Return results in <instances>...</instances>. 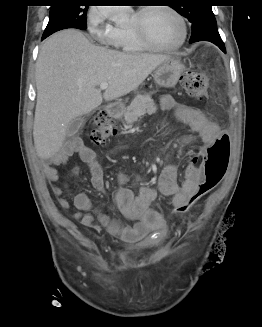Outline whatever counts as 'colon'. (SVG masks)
<instances>
[{
  "label": "colon",
  "mask_w": 262,
  "mask_h": 327,
  "mask_svg": "<svg viewBox=\"0 0 262 327\" xmlns=\"http://www.w3.org/2000/svg\"><path fill=\"white\" fill-rule=\"evenodd\" d=\"M181 84L186 93L197 100L207 98L208 78L197 71H188L183 74ZM116 130L111 115L106 110L98 111L94 116V127L90 132V139L95 144H104L115 135ZM230 159V140L225 133L220 134L205 150L200 159L203 171L202 181L197 189L176 209L179 213L189 211L193 205L213 190L222 180Z\"/></svg>",
  "instance_id": "5ec220e1"
}]
</instances>
